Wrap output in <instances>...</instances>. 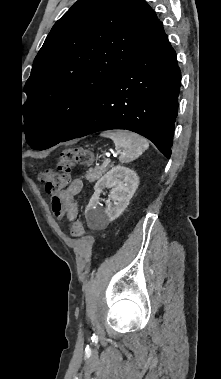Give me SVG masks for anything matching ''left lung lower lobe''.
Segmentation results:
<instances>
[{
	"label": "left lung lower lobe",
	"instance_id": "1",
	"mask_svg": "<svg viewBox=\"0 0 221 379\" xmlns=\"http://www.w3.org/2000/svg\"><path fill=\"white\" fill-rule=\"evenodd\" d=\"M180 82L176 53L159 22L60 142L103 130L127 129L151 140L170 158Z\"/></svg>",
	"mask_w": 221,
	"mask_h": 379
}]
</instances>
